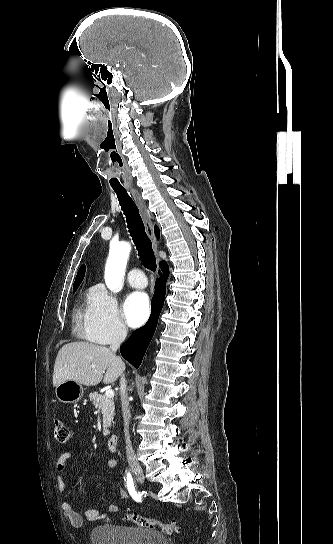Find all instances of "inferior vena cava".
I'll return each instance as SVG.
<instances>
[{
  "mask_svg": "<svg viewBox=\"0 0 333 544\" xmlns=\"http://www.w3.org/2000/svg\"><path fill=\"white\" fill-rule=\"evenodd\" d=\"M127 336V330L125 327H120L115 332L113 339L110 344V350L112 352H116L120 346V344L125 340ZM120 397H121V405H122V413H123V420H124V433H125V441H126V454L128 463L132 468H140V465L137 461L135 452L133 450L131 441H130V435H129V422H130V409H129V400L127 397L126 392V380L121 373V379H120Z\"/></svg>",
  "mask_w": 333,
  "mask_h": 544,
  "instance_id": "obj_1",
  "label": "inferior vena cava"
}]
</instances>
